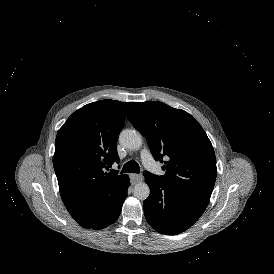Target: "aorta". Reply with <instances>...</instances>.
<instances>
[{"instance_id": "aorta-1", "label": "aorta", "mask_w": 274, "mask_h": 274, "mask_svg": "<svg viewBox=\"0 0 274 274\" xmlns=\"http://www.w3.org/2000/svg\"><path fill=\"white\" fill-rule=\"evenodd\" d=\"M119 141L125 148L134 150L142 146V137L139 132L132 129L123 130L120 133ZM133 195L139 200H145L150 195V188L145 182L135 184Z\"/></svg>"}]
</instances>
